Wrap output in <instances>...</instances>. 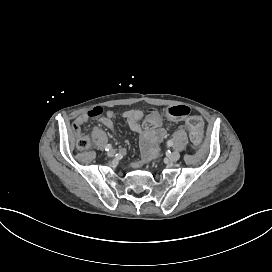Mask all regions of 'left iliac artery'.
<instances>
[{"label":"left iliac artery","mask_w":272,"mask_h":272,"mask_svg":"<svg viewBox=\"0 0 272 272\" xmlns=\"http://www.w3.org/2000/svg\"><path fill=\"white\" fill-rule=\"evenodd\" d=\"M167 145H168V146H172V145H173V141H172V140H169V141L167 142Z\"/></svg>","instance_id":"44dca946"}]
</instances>
